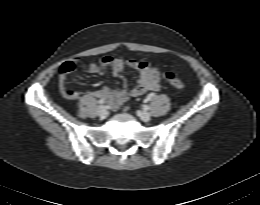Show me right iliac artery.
<instances>
[{"label":"right iliac artery","mask_w":260,"mask_h":205,"mask_svg":"<svg viewBox=\"0 0 260 205\" xmlns=\"http://www.w3.org/2000/svg\"><path fill=\"white\" fill-rule=\"evenodd\" d=\"M98 103H99V104H104V103H105V100H104V99H99V100H98Z\"/></svg>","instance_id":"1"}]
</instances>
